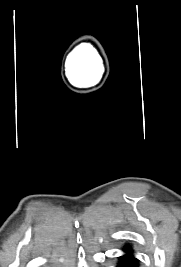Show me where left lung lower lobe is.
Listing matches in <instances>:
<instances>
[{
	"label": "left lung lower lobe",
	"instance_id": "1",
	"mask_svg": "<svg viewBox=\"0 0 181 267\" xmlns=\"http://www.w3.org/2000/svg\"><path fill=\"white\" fill-rule=\"evenodd\" d=\"M124 251L125 255L120 257L117 267H138V259L134 257L132 250L126 247Z\"/></svg>",
	"mask_w": 181,
	"mask_h": 267
}]
</instances>
